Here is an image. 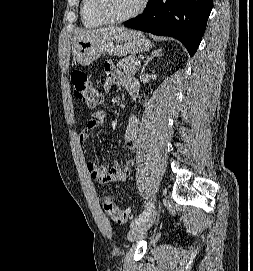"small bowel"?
<instances>
[{"label":"small bowel","instance_id":"small-bowel-1","mask_svg":"<svg viewBox=\"0 0 253 271\" xmlns=\"http://www.w3.org/2000/svg\"><path fill=\"white\" fill-rule=\"evenodd\" d=\"M106 75L105 89L109 90L113 84L123 85L129 93L136 97L139 94L138 81L126 74L120 73L111 63H106L104 66ZM106 120V113L103 110H96L92 113L86 127L78 133L77 139L80 143H86L91 137L93 131L100 128ZM138 133V119L136 116L129 117L126 130L123 136L124 143L129 149L136 148V140ZM134 165L133 159H127L124 164L114 163L110 166L101 167L93 161H88L86 164L90 177L100 183L110 181L124 182L127 180Z\"/></svg>","mask_w":253,"mask_h":271}]
</instances>
